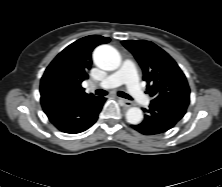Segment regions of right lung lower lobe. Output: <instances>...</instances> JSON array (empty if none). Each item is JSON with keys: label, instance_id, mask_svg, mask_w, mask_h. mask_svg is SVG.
I'll return each mask as SVG.
<instances>
[{"label": "right lung lower lobe", "instance_id": "1", "mask_svg": "<svg viewBox=\"0 0 222 187\" xmlns=\"http://www.w3.org/2000/svg\"><path fill=\"white\" fill-rule=\"evenodd\" d=\"M41 105L50 122L60 131L76 134L90 128L106 101L104 97L74 96L54 84L40 88Z\"/></svg>", "mask_w": 222, "mask_h": 187}]
</instances>
